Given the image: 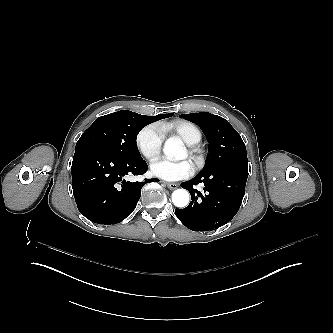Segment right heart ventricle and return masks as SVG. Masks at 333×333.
Returning <instances> with one entry per match:
<instances>
[{
  "mask_svg": "<svg viewBox=\"0 0 333 333\" xmlns=\"http://www.w3.org/2000/svg\"><path fill=\"white\" fill-rule=\"evenodd\" d=\"M159 132L162 136L165 135L166 129L159 126ZM173 137H180L186 144L195 145L201 142L202 134L197 126L187 121H178L172 127Z\"/></svg>",
  "mask_w": 333,
  "mask_h": 333,
  "instance_id": "1",
  "label": "right heart ventricle"
}]
</instances>
